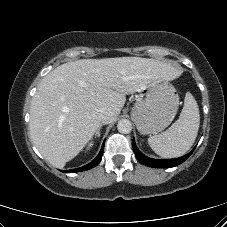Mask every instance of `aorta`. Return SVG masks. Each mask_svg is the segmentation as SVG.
Wrapping results in <instances>:
<instances>
[{
  "label": "aorta",
  "mask_w": 227,
  "mask_h": 227,
  "mask_svg": "<svg viewBox=\"0 0 227 227\" xmlns=\"http://www.w3.org/2000/svg\"><path fill=\"white\" fill-rule=\"evenodd\" d=\"M117 129L122 134H128L132 130V124L127 119H122L117 124Z\"/></svg>",
  "instance_id": "aorta-1"
}]
</instances>
